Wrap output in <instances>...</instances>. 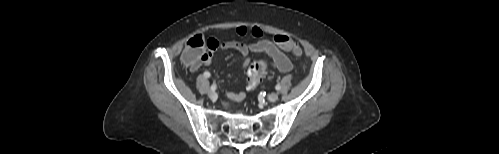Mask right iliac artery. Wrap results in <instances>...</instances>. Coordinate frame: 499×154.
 Listing matches in <instances>:
<instances>
[{"label": "right iliac artery", "mask_w": 499, "mask_h": 154, "mask_svg": "<svg viewBox=\"0 0 499 154\" xmlns=\"http://www.w3.org/2000/svg\"><path fill=\"white\" fill-rule=\"evenodd\" d=\"M204 76H205L206 78H209V77H210V73L206 71V72H204ZM216 88H217V87H216V85H212V86H211V90H212V91H215V90H216Z\"/></svg>", "instance_id": "right-iliac-artery-1"}]
</instances>
